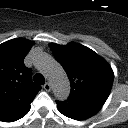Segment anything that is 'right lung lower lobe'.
<instances>
[{"instance_id": "98d812e1", "label": "right lung lower lobe", "mask_w": 128, "mask_h": 128, "mask_svg": "<svg viewBox=\"0 0 128 128\" xmlns=\"http://www.w3.org/2000/svg\"><path fill=\"white\" fill-rule=\"evenodd\" d=\"M29 110H30V106L27 107V108H26L23 112H21L20 114H18V115H16V116L12 117L11 119H9V120H7V121H5V122H13V121L18 120V119L22 118L23 116H25V115L28 113Z\"/></svg>"}]
</instances>
